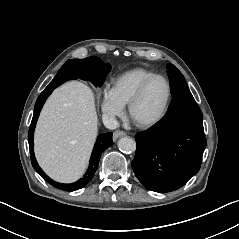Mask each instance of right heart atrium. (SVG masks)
<instances>
[{
    "mask_svg": "<svg viewBox=\"0 0 239 239\" xmlns=\"http://www.w3.org/2000/svg\"><path fill=\"white\" fill-rule=\"evenodd\" d=\"M124 107L116 100L109 88L101 89V111L107 118L122 114Z\"/></svg>",
    "mask_w": 239,
    "mask_h": 239,
    "instance_id": "right-heart-atrium-1",
    "label": "right heart atrium"
}]
</instances>
